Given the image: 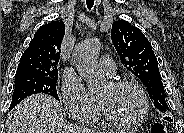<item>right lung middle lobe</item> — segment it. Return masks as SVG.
<instances>
[{
    "mask_svg": "<svg viewBox=\"0 0 184 133\" xmlns=\"http://www.w3.org/2000/svg\"><path fill=\"white\" fill-rule=\"evenodd\" d=\"M57 80L58 76L15 78V87L9 110L13 109L26 97L37 93L48 94L59 100L56 90Z\"/></svg>",
    "mask_w": 184,
    "mask_h": 133,
    "instance_id": "right-lung-middle-lobe-1",
    "label": "right lung middle lobe"
}]
</instances>
